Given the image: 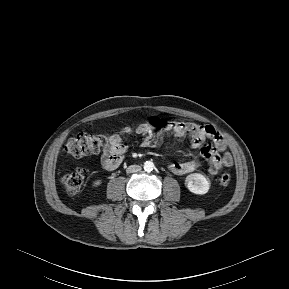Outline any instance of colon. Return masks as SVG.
Segmentation results:
<instances>
[{"mask_svg":"<svg viewBox=\"0 0 289 289\" xmlns=\"http://www.w3.org/2000/svg\"><path fill=\"white\" fill-rule=\"evenodd\" d=\"M144 128L148 132L160 129L163 133H170L174 129V122L170 118H162L159 114H152L144 121ZM108 136L105 134L79 133L72 136L64 146V152L73 157L92 155L102 151L108 144ZM87 179V172L83 168L74 169L61 178L63 188L68 194L78 193ZM231 179L229 171L222 174L219 179L221 186H226Z\"/></svg>","mask_w":289,"mask_h":289,"instance_id":"colon-1","label":"colon"}]
</instances>
